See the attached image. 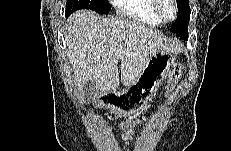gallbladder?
<instances>
[{
    "label": "gallbladder",
    "instance_id": "bac80fb5",
    "mask_svg": "<svg viewBox=\"0 0 231 151\" xmlns=\"http://www.w3.org/2000/svg\"><path fill=\"white\" fill-rule=\"evenodd\" d=\"M99 90L93 81H87L83 87V96L85 102H93L99 96Z\"/></svg>",
    "mask_w": 231,
    "mask_h": 151
}]
</instances>
